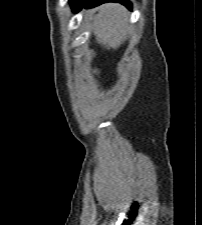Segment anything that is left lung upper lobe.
<instances>
[{"instance_id":"left-lung-upper-lobe-1","label":"left lung upper lobe","mask_w":202,"mask_h":225,"mask_svg":"<svg viewBox=\"0 0 202 225\" xmlns=\"http://www.w3.org/2000/svg\"><path fill=\"white\" fill-rule=\"evenodd\" d=\"M77 0H69L70 4H71V7H72V10H73V6L74 4L76 3Z\"/></svg>"}]
</instances>
